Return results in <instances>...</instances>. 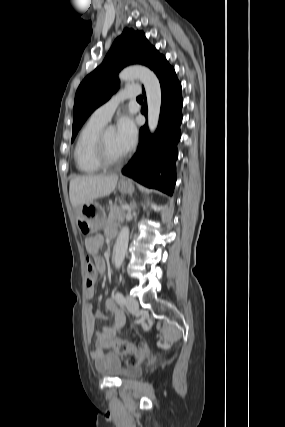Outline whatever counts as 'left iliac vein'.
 Wrapping results in <instances>:
<instances>
[{"mask_svg":"<svg viewBox=\"0 0 285 427\" xmlns=\"http://www.w3.org/2000/svg\"><path fill=\"white\" fill-rule=\"evenodd\" d=\"M127 307L131 313H136L139 309V303L135 298L127 297Z\"/></svg>","mask_w":285,"mask_h":427,"instance_id":"obj_1","label":"left iliac vein"}]
</instances>
